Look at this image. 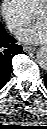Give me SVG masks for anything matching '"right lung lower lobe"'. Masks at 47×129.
<instances>
[{"label": "right lung lower lobe", "mask_w": 47, "mask_h": 129, "mask_svg": "<svg viewBox=\"0 0 47 129\" xmlns=\"http://www.w3.org/2000/svg\"><path fill=\"white\" fill-rule=\"evenodd\" d=\"M22 52V47L0 23V89L6 84L12 70V58Z\"/></svg>", "instance_id": "1"}]
</instances>
